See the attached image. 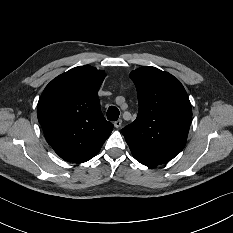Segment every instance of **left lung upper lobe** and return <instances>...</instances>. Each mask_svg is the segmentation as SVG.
Wrapping results in <instances>:
<instances>
[{
  "mask_svg": "<svg viewBox=\"0 0 233 233\" xmlns=\"http://www.w3.org/2000/svg\"><path fill=\"white\" fill-rule=\"evenodd\" d=\"M136 85L139 112L136 120L122 129L127 143L172 159L184 148L192 109L182 84L155 67L130 73Z\"/></svg>",
  "mask_w": 233,
  "mask_h": 233,
  "instance_id": "obj_1",
  "label": "left lung upper lobe"
}]
</instances>
